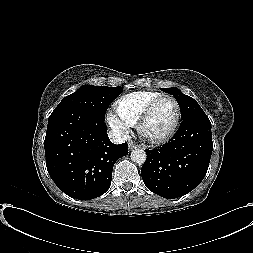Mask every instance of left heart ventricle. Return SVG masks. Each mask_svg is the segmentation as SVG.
<instances>
[{"mask_svg": "<svg viewBox=\"0 0 253 253\" xmlns=\"http://www.w3.org/2000/svg\"><path fill=\"white\" fill-rule=\"evenodd\" d=\"M176 118V107L169 99L162 100L154 109L145 125L144 132L150 137L165 135L173 126Z\"/></svg>", "mask_w": 253, "mask_h": 253, "instance_id": "obj_1", "label": "left heart ventricle"}]
</instances>
